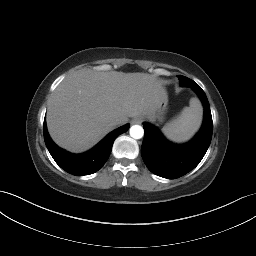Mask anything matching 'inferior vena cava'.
<instances>
[{"mask_svg": "<svg viewBox=\"0 0 256 256\" xmlns=\"http://www.w3.org/2000/svg\"><path fill=\"white\" fill-rule=\"evenodd\" d=\"M121 124V121L119 119H116L114 121L111 122V126L115 127L117 125H120Z\"/></svg>", "mask_w": 256, "mask_h": 256, "instance_id": "inferior-vena-cava-1", "label": "inferior vena cava"}]
</instances>
